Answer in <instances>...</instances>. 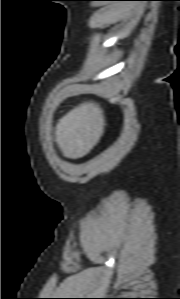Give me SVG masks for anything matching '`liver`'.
Masks as SVG:
<instances>
[{
	"instance_id": "obj_1",
	"label": "liver",
	"mask_w": 180,
	"mask_h": 299,
	"mask_svg": "<svg viewBox=\"0 0 180 299\" xmlns=\"http://www.w3.org/2000/svg\"><path fill=\"white\" fill-rule=\"evenodd\" d=\"M105 126L99 104L85 102L63 116L55 127V142L63 155L78 159L88 154L100 140Z\"/></svg>"
}]
</instances>
